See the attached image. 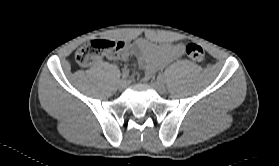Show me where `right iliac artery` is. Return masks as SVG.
<instances>
[{
    "label": "right iliac artery",
    "instance_id": "obj_1",
    "mask_svg": "<svg viewBox=\"0 0 279 166\" xmlns=\"http://www.w3.org/2000/svg\"><path fill=\"white\" fill-rule=\"evenodd\" d=\"M128 76H129V71H128V70H124V71L122 72V78H123V79H126Z\"/></svg>",
    "mask_w": 279,
    "mask_h": 166
}]
</instances>
